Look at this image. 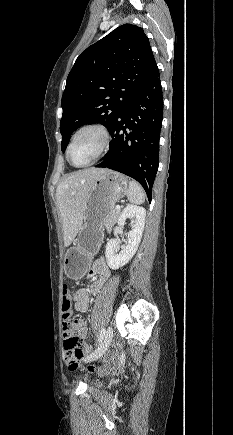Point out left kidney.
<instances>
[{
  "mask_svg": "<svg viewBox=\"0 0 233 435\" xmlns=\"http://www.w3.org/2000/svg\"><path fill=\"white\" fill-rule=\"evenodd\" d=\"M146 210L136 205H127L118 218V226H123L127 218L134 220L131 230L127 234V244L122 247L116 239H111L106 245L105 256L108 266L113 269H119L129 262L134 256L141 242L142 233L145 225Z\"/></svg>",
  "mask_w": 233,
  "mask_h": 435,
  "instance_id": "left-kidney-1",
  "label": "left kidney"
}]
</instances>
